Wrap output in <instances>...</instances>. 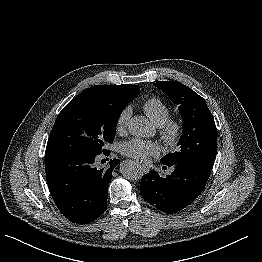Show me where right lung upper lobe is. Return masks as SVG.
<instances>
[{"instance_id":"obj_1","label":"right lung upper lobe","mask_w":262,"mask_h":262,"mask_svg":"<svg viewBox=\"0 0 262 262\" xmlns=\"http://www.w3.org/2000/svg\"><path fill=\"white\" fill-rule=\"evenodd\" d=\"M137 85H95L87 90L95 91L108 98H123L132 95L137 90Z\"/></svg>"}]
</instances>
